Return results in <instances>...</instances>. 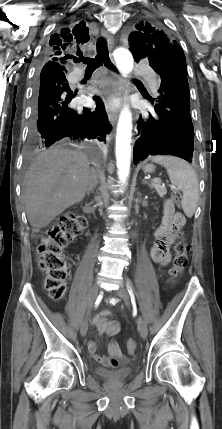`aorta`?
Instances as JSON below:
<instances>
[{"instance_id":"1","label":"aorta","mask_w":222,"mask_h":429,"mask_svg":"<svg viewBox=\"0 0 222 429\" xmlns=\"http://www.w3.org/2000/svg\"><path fill=\"white\" fill-rule=\"evenodd\" d=\"M114 59L122 75L126 76L132 71L133 57L130 51L124 48L116 49L114 51ZM131 132L132 114L129 107L124 106L119 116L116 134V163L118 177L122 184H126L130 173Z\"/></svg>"}]
</instances>
